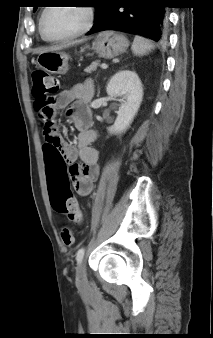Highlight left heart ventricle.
I'll return each mask as SVG.
<instances>
[{
  "instance_id": "1",
  "label": "left heart ventricle",
  "mask_w": 213,
  "mask_h": 338,
  "mask_svg": "<svg viewBox=\"0 0 213 338\" xmlns=\"http://www.w3.org/2000/svg\"><path fill=\"white\" fill-rule=\"evenodd\" d=\"M86 21V13L80 7H54L45 17L43 32L54 39L78 31Z\"/></svg>"
}]
</instances>
